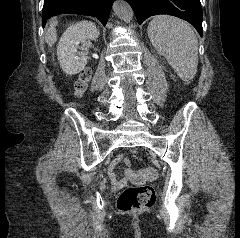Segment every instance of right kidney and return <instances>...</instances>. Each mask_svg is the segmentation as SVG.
I'll return each mask as SVG.
<instances>
[{
  "label": "right kidney",
  "instance_id": "obj_1",
  "mask_svg": "<svg viewBox=\"0 0 240 238\" xmlns=\"http://www.w3.org/2000/svg\"><path fill=\"white\" fill-rule=\"evenodd\" d=\"M99 30L90 21H81L70 25L63 33L57 47V56L62 70L68 75L82 71L87 64L85 52H78L79 44L85 50L87 41L96 40Z\"/></svg>",
  "mask_w": 240,
  "mask_h": 238
}]
</instances>
